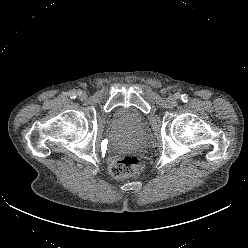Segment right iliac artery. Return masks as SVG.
I'll return each mask as SVG.
<instances>
[{"mask_svg":"<svg viewBox=\"0 0 248 248\" xmlns=\"http://www.w3.org/2000/svg\"><path fill=\"white\" fill-rule=\"evenodd\" d=\"M69 96H70L71 99H75L76 98V93L74 91H71L69 93Z\"/></svg>","mask_w":248,"mask_h":248,"instance_id":"1","label":"right iliac artery"}]
</instances>
